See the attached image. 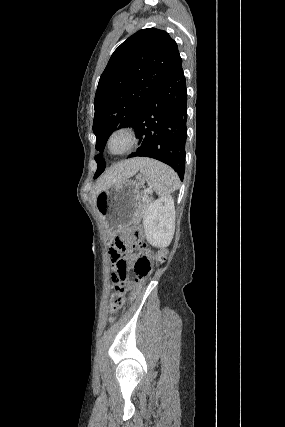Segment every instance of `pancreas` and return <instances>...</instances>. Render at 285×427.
Segmentation results:
<instances>
[{
	"label": "pancreas",
	"mask_w": 285,
	"mask_h": 427,
	"mask_svg": "<svg viewBox=\"0 0 285 427\" xmlns=\"http://www.w3.org/2000/svg\"><path fill=\"white\" fill-rule=\"evenodd\" d=\"M150 202H151V199H149V198L143 199L142 202H140V204H139V213H138V216L135 219V221L141 219L144 211L146 210V208L148 207V205H149Z\"/></svg>",
	"instance_id": "pancreas-1"
}]
</instances>
